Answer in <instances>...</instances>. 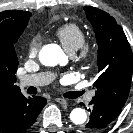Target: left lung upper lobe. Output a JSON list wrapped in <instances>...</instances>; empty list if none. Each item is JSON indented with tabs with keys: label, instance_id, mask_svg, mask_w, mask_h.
<instances>
[{
	"label": "left lung upper lobe",
	"instance_id": "5c2ea615",
	"mask_svg": "<svg viewBox=\"0 0 133 133\" xmlns=\"http://www.w3.org/2000/svg\"><path fill=\"white\" fill-rule=\"evenodd\" d=\"M94 27L98 44L99 77L93 84L95 97L123 107L128 98L133 55L125 33L108 13L91 6L84 7Z\"/></svg>",
	"mask_w": 133,
	"mask_h": 133
}]
</instances>
